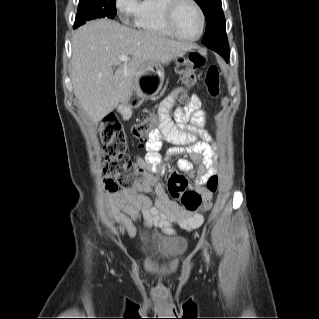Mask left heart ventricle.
Instances as JSON below:
<instances>
[{
  "label": "left heart ventricle",
  "mask_w": 319,
  "mask_h": 319,
  "mask_svg": "<svg viewBox=\"0 0 319 319\" xmlns=\"http://www.w3.org/2000/svg\"><path fill=\"white\" fill-rule=\"evenodd\" d=\"M174 24L177 31L185 37H195L200 28L199 16L193 5L183 3L175 13Z\"/></svg>",
  "instance_id": "left-heart-ventricle-1"
}]
</instances>
